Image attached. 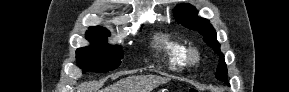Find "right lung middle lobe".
Instances as JSON below:
<instances>
[{
	"label": "right lung middle lobe",
	"mask_w": 289,
	"mask_h": 92,
	"mask_svg": "<svg viewBox=\"0 0 289 92\" xmlns=\"http://www.w3.org/2000/svg\"><path fill=\"white\" fill-rule=\"evenodd\" d=\"M109 32L88 30L86 38L91 42L89 47L76 51V61L84 71L108 72L121 64L123 53L119 46L106 44Z\"/></svg>",
	"instance_id": "dd1d6c3e"
}]
</instances>
